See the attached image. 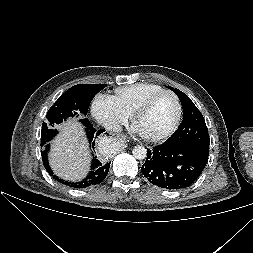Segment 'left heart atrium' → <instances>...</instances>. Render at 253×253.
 I'll return each instance as SVG.
<instances>
[{
    "label": "left heart atrium",
    "mask_w": 253,
    "mask_h": 253,
    "mask_svg": "<svg viewBox=\"0 0 253 253\" xmlns=\"http://www.w3.org/2000/svg\"><path fill=\"white\" fill-rule=\"evenodd\" d=\"M133 132L136 133V134L143 135L136 126L133 127Z\"/></svg>",
    "instance_id": "1"
}]
</instances>
